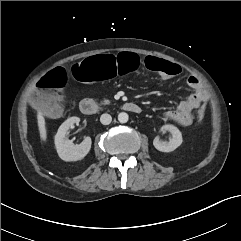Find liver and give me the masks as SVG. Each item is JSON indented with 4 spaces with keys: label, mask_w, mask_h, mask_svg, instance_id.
Masks as SVG:
<instances>
[{
    "label": "liver",
    "mask_w": 241,
    "mask_h": 241,
    "mask_svg": "<svg viewBox=\"0 0 241 241\" xmlns=\"http://www.w3.org/2000/svg\"><path fill=\"white\" fill-rule=\"evenodd\" d=\"M37 122H38L40 138L42 141H46L47 131H46V126H45V118L43 117L41 112L37 113Z\"/></svg>",
    "instance_id": "liver-1"
}]
</instances>
